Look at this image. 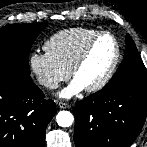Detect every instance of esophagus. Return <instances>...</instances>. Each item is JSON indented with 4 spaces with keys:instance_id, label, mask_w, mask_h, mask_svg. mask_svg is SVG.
Listing matches in <instances>:
<instances>
[{
    "instance_id": "34e87169",
    "label": "esophagus",
    "mask_w": 147,
    "mask_h": 147,
    "mask_svg": "<svg viewBox=\"0 0 147 147\" xmlns=\"http://www.w3.org/2000/svg\"><path fill=\"white\" fill-rule=\"evenodd\" d=\"M58 106H59V108H61V109H67V108L70 107V105H69L68 103H65V102H59V103H58Z\"/></svg>"
}]
</instances>
